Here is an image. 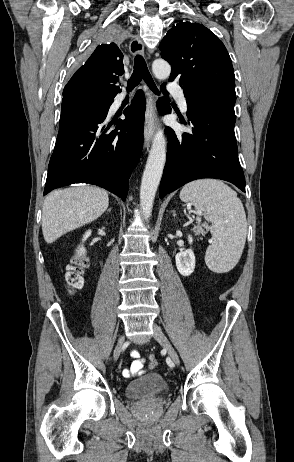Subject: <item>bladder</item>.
Masks as SVG:
<instances>
[{
  "label": "bladder",
  "instance_id": "1",
  "mask_svg": "<svg viewBox=\"0 0 294 462\" xmlns=\"http://www.w3.org/2000/svg\"><path fill=\"white\" fill-rule=\"evenodd\" d=\"M169 390L168 381L159 374L142 376L125 387V394L131 399H142L165 393Z\"/></svg>",
  "mask_w": 294,
  "mask_h": 462
}]
</instances>
